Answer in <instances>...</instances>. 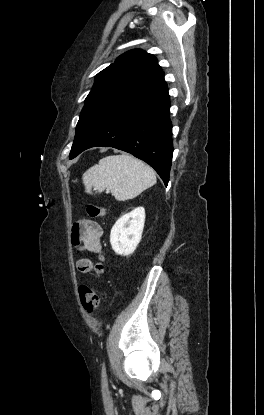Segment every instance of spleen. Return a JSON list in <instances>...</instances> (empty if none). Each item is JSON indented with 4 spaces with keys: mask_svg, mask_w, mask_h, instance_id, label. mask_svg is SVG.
<instances>
[{
    "mask_svg": "<svg viewBox=\"0 0 264 415\" xmlns=\"http://www.w3.org/2000/svg\"><path fill=\"white\" fill-rule=\"evenodd\" d=\"M85 191L101 193L106 189L118 201L135 198L156 183L154 170L135 157L122 154L102 158L82 177Z\"/></svg>",
    "mask_w": 264,
    "mask_h": 415,
    "instance_id": "3e777b00",
    "label": "spleen"
}]
</instances>
